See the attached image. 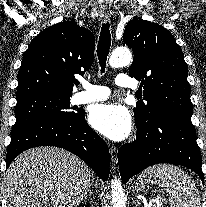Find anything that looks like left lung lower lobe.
Wrapping results in <instances>:
<instances>
[{"label": "left lung lower lobe", "mask_w": 206, "mask_h": 207, "mask_svg": "<svg viewBox=\"0 0 206 207\" xmlns=\"http://www.w3.org/2000/svg\"><path fill=\"white\" fill-rule=\"evenodd\" d=\"M192 113L157 110L150 123L136 124L137 139L118 151L123 183L158 163H173L195 171L204 183L202 159L191 122Z\"/></svg>", "instance_id": "left-lung-lower-lobe-1"}]
</instances>
